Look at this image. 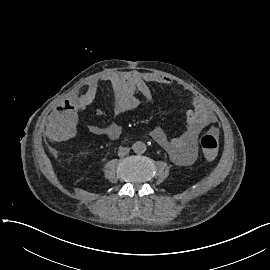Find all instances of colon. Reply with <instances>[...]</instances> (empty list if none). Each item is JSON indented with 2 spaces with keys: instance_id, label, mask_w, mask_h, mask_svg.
Segmentation results:
<instances>
[{
  "instance_id": "5ec220e1",
  "label": "colon",
  "mask_w": 270,
  "mask_h": 270,
  "mask_svg": "<svg viewBox=\"0 0 270 270\" xmlns=\"http://www.w3.org/2000/svg\"><path fill=\"white\" fill-rule=\"evenodd\" d=\"M202 152L206 157L211 158L216 155L219 147V140L215 133L204 134L199 141Z\"/></svg>"
}]
</instances>
